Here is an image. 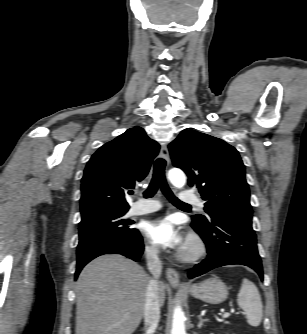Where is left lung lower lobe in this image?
<instances>
[{"label":"left lung lower lobe","mask_w":307,"mask_h":334,"mask_svg":"<svg viewBox=\"0 0 307 334\" xmlns=\"http://www.w3.org/2000/svg\"><path fill=\"white\" fill-rule=\"evenodd\" d=\"M192 227L205 242L208 256L189 271V278L220 266L239 264L251 267L263 280L252 220L225 215L215 217L209 227L194 222Z\"/></svg>","instance_id":"0a47b994"}]
</instances>
